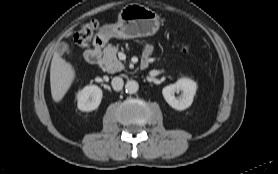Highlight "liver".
Masks as SVG:
<instances>
[{
    "instance_id": "6515ba94",
    "label": "liver",
    "mask_w": 278,
    "mask_h": 174,
    "mask_svg": "<svg viewBox=\"0 0 278 174\" xmlns=\"http://www.w3.org/2000/svg\"><path fill=\"white\" fill-rule=\"evenodd\" d=\"M71 32L67 34L70 36ZM76 77L72 64L66 62L58 52H54L50 67L51 95L55 102H60Z\"/></svg>"
}]
</instances>
